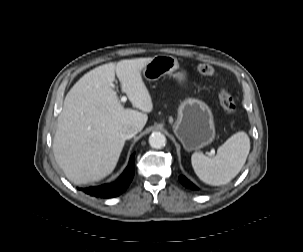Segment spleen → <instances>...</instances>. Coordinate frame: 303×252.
<instances>
[{
	"label": "spleen",
	"mask_w": 303,
	"mask_h": 252,
	"mask_svg": "<svg viewBox=\"0 0 303 252\" xmlns=\"http://www.w3.org/2000/svg\"><path fill=\"white\" fill-rule=\"evenodd\" d=\"M250 151V139L237 132L226 140L214 157L195 152L191 156L192 167L201 181L219 186L229 183L244 166Z\"/></svg>",
	"instance_id": "3e777b00"
}]
</instances>
